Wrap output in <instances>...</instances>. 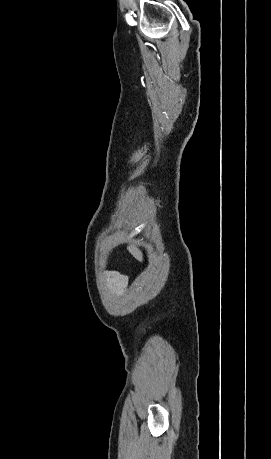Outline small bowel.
<instances>
[{"mask_svg": "<svg viewBox=\"0 0 271 459\" xmlns=\"http://www.w3.org/2000/svg\"><path fill=\"white\" fill-rule=\"evenodd\" d=\"M105 281L109 290L116 297L123 295L128 284L127 278L116 272H108L105 275Z\"/></svg>", "mask_w": 271, "mask_h": 459, "instance_id": "1", "label": "small bowel"}]
</instances>
